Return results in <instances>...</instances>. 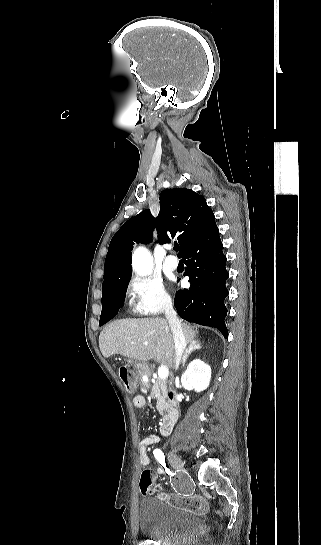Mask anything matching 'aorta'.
Wrapping results in <instances>:
<instances>
[{
  "label": "aorta",
  "mask_w": 321,
  "mask_h": 545,
  "mask_svg": "<svg viewBox=\"0 0 321 545\" xmlns=\"http://www.w3.org/2000/svg\"><path fill=\"white\" fill-rule=\"evenodd\" d=\"M132 264L135 271L141 275L145 276L151 273L153 268V259L150 256L149 252L141 247L134 251L132 255Z\"/></svg>",
  "instance_id": "aorta-1"
}]
</instances>
